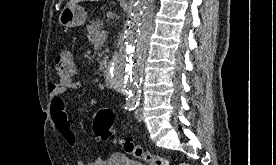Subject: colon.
Returning <instances> with one entry per match:
<instances>
[{
  "mask_svg": "<svg viewBox=\"0 0 276 165\" xmlns=\"http://www.w3.org/2000/svg\"><path fill=\"white\" fill-rule=\"evenodd\" d=\"M76 73V65L73 57L68 51H61L55 58V74L60 80L71 79ZM114 113L108 108L99 109L92 121V129L95 136L99 139L106 140L112 136V126L114 123ZM124 150L129 155L138 158L148 165H168V161L158 155L135 145L131 140H121ZM179 165H188L181 163Z\"/></svg>",
  "mask_w": 276,
  "mask_h": 165,
  "instance_id": "5ec220e1",
  "label": "colon"
}]
</instances>
